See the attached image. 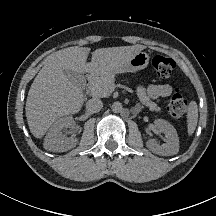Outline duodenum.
<instances>
[{
	"mask_svg": "<svg viewBox=\"0 0 216 216\" xmlns=\"http://www.w3.org/2000/svg\"><path fill=\"white\" fill-rule=\"evenodd\" d=\"M94 75L93 74H89L86 77L87 82L91 81L93 79Z\"/></svg>",
	"mask_w": 216,
	"mask_h": 216,
	"instance_id": "obj_1",
	"label": "duodenum"
}]
</instances>
